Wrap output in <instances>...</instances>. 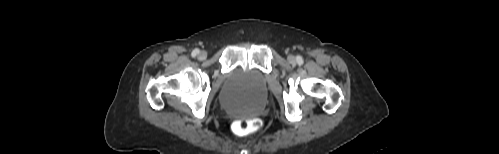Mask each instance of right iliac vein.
<instances>
[{
    "instance_id": "1",
    "label": "right iliac vein",
    "mask_w": 499,
    "mask_h": 154,
    "mask_svg": "<svg viewBox=\"0 0 499 154\" xmlns=\"http://www.w3.org/2000/svg\"><path fill=\"white\" fill-rule=\"evenodd\" d=\"M206 57H207L206 52L202 51V52L199 53V58L200 59H205Z\"/></svg>"
}]
</instances>
